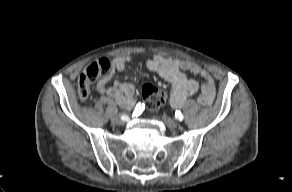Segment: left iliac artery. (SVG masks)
I'll return each mask as SVG.
<instances>
[{"mask_svg":"<svg viewBox=\"0 0 292 192\" xmlns=\"http://www.w3.org/2000/svg\"><path fill=\"white\" fill-rule=\"evenodd\" d=\"M175 116L179 121H182L184 119V116L180 111H176Z\"/></svg>","mask_w":292,"mask_h":192,"instance_id":"obj_1","label":"left iliac artery"}]
</instances>
